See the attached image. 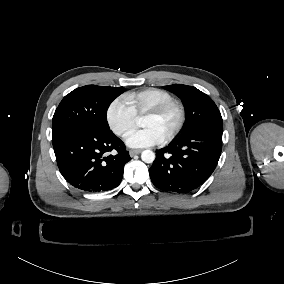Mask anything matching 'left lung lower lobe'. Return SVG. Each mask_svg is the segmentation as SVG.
<instances>
[{
  "label": "left lung lower lobe",
  "mask_w": 284,
  "mask_h": 284,
  "mask_svg": "<svg viewBox=\"0 0 284 284\" xmlns=\"http://www.w3.org/2000/svg\"><path fill=\"white\" fill-rule=\"evenodd\" d=\"M222 150V129L205 127L181 134L156 150L149 169L152 183L165 192L188 193L215 170Z\"/></svg>",
  "instance_id": "0a47b994"
}]
</instances>
